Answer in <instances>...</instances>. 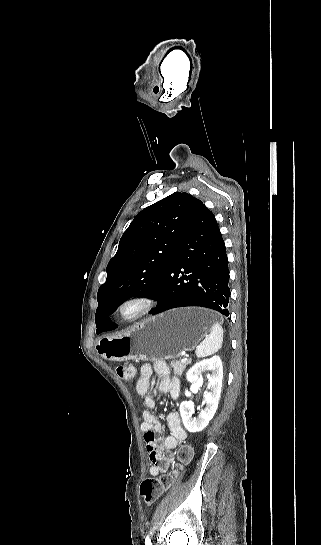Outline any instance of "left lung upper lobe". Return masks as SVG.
<instances>
[{
	"label": "left lung upper lobe",
	"mask_w": 321,
	"mask_h": 545,
	"mask_svg": "<svg viewBox=\"0 0 321 545\" xmlns=\"http://www.w3.org/2000/svg\"><path fill=\"white\" fill-rule=\"evenodd\" d=\"M199 203L188 193L175 192L135 216L108 263L106 282L98 290L97 333L112 322L110 315L127 298L157 293Z\"/></svg>",
	"instance_id": "5c2ea615"
}]
</instances>
